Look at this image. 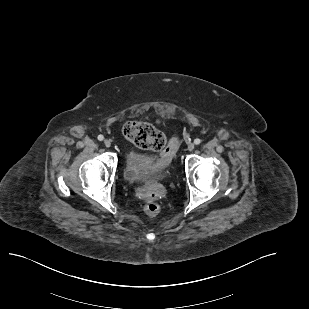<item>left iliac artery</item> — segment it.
<instances>
[{"instance_id": "1", "label": "left iliac artery", "mask_w": 309, "mask_h": 309, "mask_svg": "<svg viewBox=\"0 0 309 309\" xmlns=\"http://www.w3.org/2000/svg\"><path fill=\"white\" fill-rule=\"evenodd\" d=\"M194 143H195L196 145H199V144L201 143V140H200L199 138H196V139L194 140Z\"/></svg>"}]
</instances>
